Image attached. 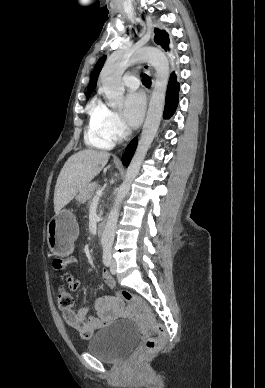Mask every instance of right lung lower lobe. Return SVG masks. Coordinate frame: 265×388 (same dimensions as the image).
<instances>
[{
    "label": "right lung lower lobe",
    "instance_id": "obj_1",
    "mask_svg": "<svg viewBox=\"0 0 265 388\" xmlns=\"http://www.w3.org/2000/svg\"><path fill=\"white\" fill-rule=\"evenodd\" d=\"M137 139H134L126 148L123 156H122V162L126 167L129 165L131 158L135 152L136 146H137Z\"/></svg>",
    "mask_w": 265,
    "mask_h": 388
}]
</instances>
